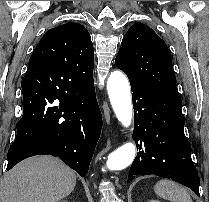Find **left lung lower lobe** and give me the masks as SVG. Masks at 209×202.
Wrapping results in <instances>:
<instances>
[{"label":"left lung lower lobe","instance_id":"obj_1","mask_svg":"<svg viewBox=\"0 0 209 202\" xmlns=\"http://www.w3.org/2000/svg\"><path fill=\"white\" fill-rule=\"evenodd\" d=\"M134 107L137 157L128 182L137 176L157 175L192 189L199 196L200 180L191 159V146L184 134L182 100L130 81Z\"/></svg>","mask_w":209,"mask_h":202}]
</instances>
